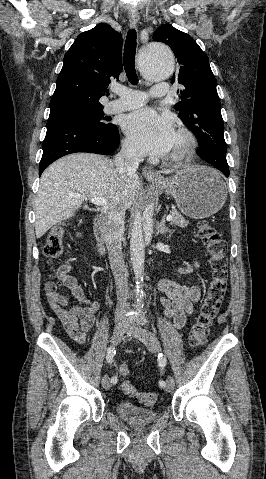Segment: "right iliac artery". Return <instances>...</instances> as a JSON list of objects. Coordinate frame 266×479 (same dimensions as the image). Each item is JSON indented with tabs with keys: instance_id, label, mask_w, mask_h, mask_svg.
I'll list each match as a JSON object with an SVG mask.
<instances>
[{
	"instance_id": "82829eb1",
	"label": "right iliac artery",
	"mask_w": 266,
	"mask_h": 479,
	"mask_svg": "<svg viewBox=\"0 0 266 479\" xmlns=\"http://www.w3.org/2000/svg\"><path fill=\"white\" fill-rule=\"evenodd\" d=\"M115 353H116L115 347H114V346H110V347L108 348L107 354H106V360H107L108 363H112L113 357H114ZM117 381H118V379H117L116 376H113V377L111 378V383L116 384Z\"/></svg>"
}]
</instances>
